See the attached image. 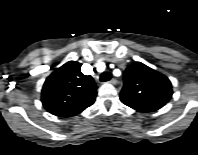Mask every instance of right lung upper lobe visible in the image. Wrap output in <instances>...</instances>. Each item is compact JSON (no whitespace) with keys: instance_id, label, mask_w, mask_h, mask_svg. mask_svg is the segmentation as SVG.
<instances>
[{"instance_id":"obj_1","label":"right lung upper lobe","mask_w":198,"mask_h":155,"mask_svg":"<svg viewBox=\"0 0 198 155\" xmlns=\"http://www.w3.org/2000/svg\"><path fill=\"white\" fill-rule=\"evenodd\" d=\"M81 65L69 61L46 79L41 100L51 114L73 116L94 103L97 86L91 76L81 73Z\"/></svg>"}]
</instances>
